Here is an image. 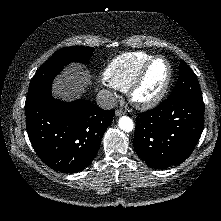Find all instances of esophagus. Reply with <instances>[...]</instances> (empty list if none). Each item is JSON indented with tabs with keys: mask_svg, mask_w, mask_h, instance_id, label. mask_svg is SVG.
Returning a JSON list of instances; mask_svg holds the SVG:
<instances>
[{
	"mask_svg": "<svg viewBox=\"0 0 221 221\" xmlns=\"http://www.w3.org/2000/svg\"><path fill=\"white\" fill-rule=\"evenodd\" d=\"M123 114H124V111L122 109H117L116 112H115L116 116H121Z\"/></svg>",
	"mask_w": 221,
	"mask_h": 221,
	"instance_id": "obj_1",
	"label": "esophagus"
}]
</instances>
